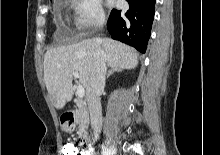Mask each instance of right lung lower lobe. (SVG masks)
Instances as JSON below:
<instances>
[{"instance_id":"right-lung-lower-lobe-1","label":"right lung lower lobe","mask_w":220,"mask_h":155,"mask_svg":"<svg viewBox=\"0 0 220 155\" xmlns=\"http://www.w3.org/2000/svg\"><path fill=\"white\" fill-rule=\"evenodd\" d=\"M127 11H111L107 29L113 39L145 53L154 19L156 0H127Z\"/></svg>"}]
</instances>
